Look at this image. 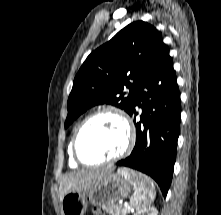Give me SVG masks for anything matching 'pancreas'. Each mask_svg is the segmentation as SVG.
<instances>
[{"instance_id": "cf45deb5", "label": "pancreas", "mask_w": 221, "mask_h": 215, "mask_svg": "<svg viewBox=\"0 0 221 215\" xmlns=\"http://www.w3.org/2000/svg\"><path fill=\"white\" fill-rule=\"evenodd\" d=\"M103 209L109 212L111 215H126L129 212V208H121L117 204L110 207H103Z\"/></svg>"}]
</instances>
